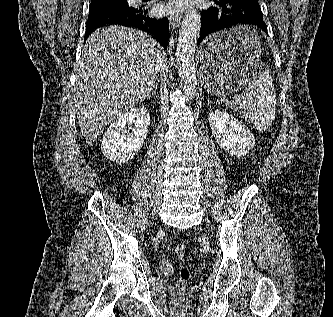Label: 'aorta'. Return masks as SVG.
<instances>
[{
  "mask_svg": "<svg viewBox=\"0 0 333 317\" xmlns=\"http://www.w3.org/2000/svg\"><path fill=\"white\" fill-rule=\"evenodd\" d=\"M200 27L201 19L198 12L195 9L188 10L182 21L176 50L180 84L188 100L195 96L197 86L194 53Z\"/></svg>",
  "mask_w": 333,
  "mask_h": 317,
  "instance_id": "obj_1",
  "label": "aorta"
}]
</instances>
